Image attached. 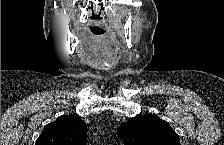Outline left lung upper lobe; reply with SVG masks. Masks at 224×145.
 Listing matches in <instances>:
<instances>
[{"instance_id":"5c2ea615","label":"left lung upper lobe","mask_w":224,"mask_h":145,"mask_svg":"<svg viewBox=\"0 0 224 145\" xmlns=\"http://www.w3.org/2000/svg\"><path fill=\"white\" fill-rule=\"evenodd\" d=\"M117 134L125 145H180L171 126L155 115L133 118L120 126Z\"/></svg>"}]
</instances>
